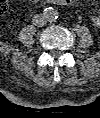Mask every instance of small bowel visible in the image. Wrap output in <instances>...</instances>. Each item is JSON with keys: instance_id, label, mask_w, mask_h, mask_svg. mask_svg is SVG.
<instances>
[{"instance_id": "1", "label": "small bowel", "mask_w": 100, "mask_h": 118, "mask_svg": "<svg viewBox=\"0 0 100 118\" xmlns=\"http://www.w3.org/2000/svg\"><path fill=\"white\" fill-rule=\"evenodd\" d=\"M91 20H92V22H93L95 25H99V24H100V17H99V16H92V17H91Z\"/></svg>"}]
</instances>
